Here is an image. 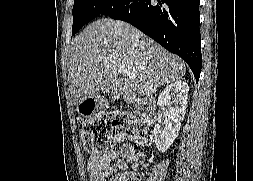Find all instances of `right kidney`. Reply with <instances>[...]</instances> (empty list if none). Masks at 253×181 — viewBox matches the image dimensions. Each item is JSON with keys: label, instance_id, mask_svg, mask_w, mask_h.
Returning a JSON list of instances; mask_svg holds the SVG:
<instances>
[{"label": "right kidney", "instance_id": "1", "mask_svg": "<svg viewBox=\"0 0 253 181\" xmlns=\"http://www.w3.org/2000/svg\"><path fill=\"white\" fill-rule=\"evenodd\" d=\"M189 86L186 82L176 81L159 94L158 105L164 111V127L154 126V142L158 151L166 152L177 138L184 119Z\"/></svg>", "mask_w": 253, "mask_h": 181}]
</instances>
